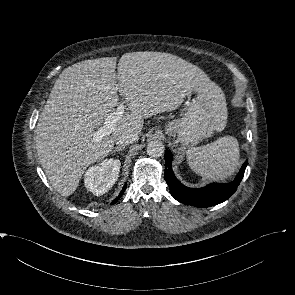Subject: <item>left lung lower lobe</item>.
<instances>
[{"label": "left lung lower lobe", "mask_w": 295, "mask_h": 295, "mask_svg": "<svg viewBox=\"0 0 295 295\" xmlns=\"http://www.w3.org/2000/svg\"><path fill=\"white\" fill-rule=\"evenodd\" d=\"M248 161H246L234 181L230 183H211L203 188H188L181 184L175 177L171 164L172 154L165 153V181L167 182L171 195L181 203L191 206L207 208L220 204L227 200L237 190L240 184Z\"/></svg>", "instance_id": "1"}]
</instances>
